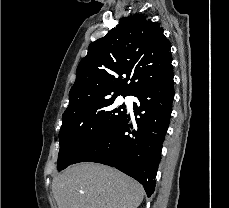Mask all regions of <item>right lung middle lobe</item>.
<instances>
[{"instance_id": "right-lung-middle-lobe-1", "label": "right lung middle lobe", "mask_w": 229, "mask_h": 208, "mask_svg": "<svg viewBox=\"0 0 229 208\" xmlns=\"http://www.w3.org/2000/svg\"><path fill=\"white\" fill-rule=\"evenodd\" d=\"M116 98L100 100L75 114L62 118L57 161L59 171L72 164L82 151L120 121L126 110L124 105L115 106Z\"/></svg>"}]
</instances>
